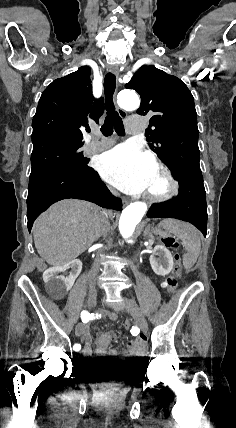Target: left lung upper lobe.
<instances>
[{
	"label": "left lung upper lobe",
	"instance_id": "1",
	"mask_svg": "<svg viewBox=\"0 0 236 428\" xmlns=\"http://www.w3.org/2000/svg\"><path fill=\"white\" fill-rule=\"evenodd\" d=\"M126 88L141 96L139 115L153 114L149 120L150 148L171 171L201 173L198 127L194 99L177 77L154 66H142ZM154 126L155 129L151 130Z\"/></svg>",
	"mask_w": 236,
	"mask_h": 428
}]
</instances>
